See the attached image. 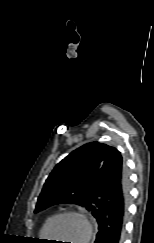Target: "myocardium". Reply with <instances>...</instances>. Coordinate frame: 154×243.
I'll list each match as a JSON object with an SVG mask.
<instances>
[{
    "instance_id": "1",
    "label": "myocardium",
    "mask_w": 154,
    "mask_h": 243,
    "mask_svg": "<svg viewBox=\"0 0 154 243\" xmlns=\"http://www.w3.org/2000/svg\"><path fill=\"white\" fill-rule=\"evenodd\" d=\"M65 216H71V217H76L79 218L83 224H84V235L82 240L80 241V243H88L91 236H92V225L89 221V219L87 218V216L79 211H75V210H65V211H61L58 212L56 214H54L49 221L47 222L46 228H45V235L46 237H50V230L51 227L53 225V223L60 217H65Z\"/></svg>"
}]
</instances>
